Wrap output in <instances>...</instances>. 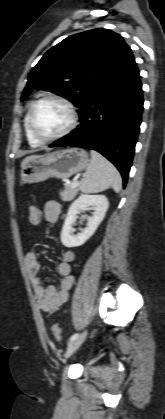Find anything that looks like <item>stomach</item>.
Wrapping results in <instances>:
<instances>
[{
  "label": "stomach",
  "mask_w": 165,
  "mask_h": 419,
  "mask_svg": "<svg viewBox=\"0 0 165 419\" xmlns=\"http://www.w3.org/2000/svg\"><path fill=\"white\" fill-rule=\"evenodd\" d=\"M88 153L81 148L59 150L30 159L21 170L24 183H37L49 178L66 179L88 166Z\"/></svg>",
  "instance_id": "0dacf381"
}]
</instances>
